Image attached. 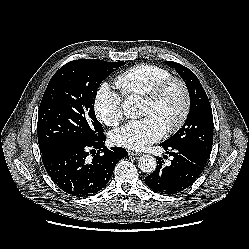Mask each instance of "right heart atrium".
Returning <instances> with one entry per match:
<instances>
[{
  "label": "right heart atrium",
  "mask_w": 249,
  "mask_h": 249,
  "mask_svg": "<svg viewBox=\"0 0 249 249\" xmlns=\"http://www.w3.org/2000/svg\"><path fill=\"white\" fill-rule=\"evenodd\" d=\"M93 110L96 118L107 126H116L123 119L121 97L108 83H102L98 87Z\"/></svg>",
  "instance_id": "right-heart-atrium-1"
}]
</instances>
